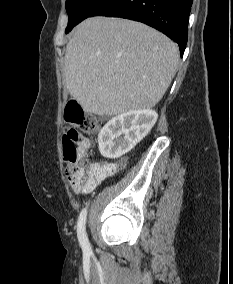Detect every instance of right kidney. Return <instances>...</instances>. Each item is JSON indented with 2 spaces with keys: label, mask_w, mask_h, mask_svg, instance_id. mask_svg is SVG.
Masks as SVG:
<instances>
[{
  "label": "right kidney",
  "mask_w": 233,
  "mask_h": 284,
  "mask_svg": "<svg viewBox=\"0 0 233 284\" xmlns=\"http://www.w3.org/2000/svg\"><path fill=\"white\" fill-rule=\"evenodd\" d=\"M158 118L151 109L128 111L112 118L98 135L99 151L107 158H119L139 143Z\"/></svg>",
  "instance_id": "ca27d5eb"
}]
</instances>
